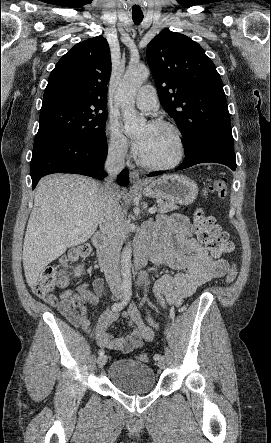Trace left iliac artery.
I'll return each instance as SVG.
<instances>
[{"label":"left iliac artery","mask_w":271,"mask_h":443,"mask_svg":"<svg viewBox=\"0 0 271 443\" xmlns=\"http://www.w3.org/2000/svg\"><path fill=\"white\" fill-rule=\"evenodd\" d=\"M160 357H161L160 354H155L154 357H153V359H154L155 361H157V360L160 359Z\"/></svg>","instance_id":"44dca946"}]
</instances>
